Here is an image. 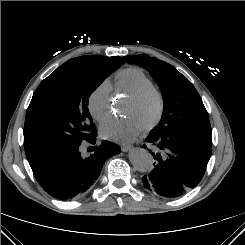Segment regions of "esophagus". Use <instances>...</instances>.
<instances>
[{
  "label": "esophagus",
  "instance_id": "34e87169",
  "mask_svg": "<svg viewBox=\"0 0 245 245\" xmlns=\"http://www.w3.org/2000/svg\"><path fill=\"white\" fill-rule=\"evenodd\" d=\"M131 147L132 146L130 144H127V143L121 144V150H122V152L128 151Z\"/></svg>",
  "mask_w": 245,
  "mask_h": 245
}]
</instances>
